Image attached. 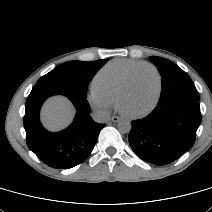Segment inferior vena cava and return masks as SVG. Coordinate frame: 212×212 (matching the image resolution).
<instances>
[{
    "instance_id": "inferior-vena-cava-1",
    "label": "inferior vena cava",
    "mask_w": 212,
    "mask_h": 212,
    "mask_svg": "<svg viewBox=\"0 0 212 212\" xmlns=\"http://www.w3.org/2000/svg\"><path fill=\"white\" fill-rule=\"evenodd\" d=\"M92 118L95 122L104 123V122L109 121L110 114L107 111L95 109L92 112Z\"/></svg>"
}]
</instances>
